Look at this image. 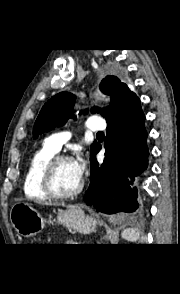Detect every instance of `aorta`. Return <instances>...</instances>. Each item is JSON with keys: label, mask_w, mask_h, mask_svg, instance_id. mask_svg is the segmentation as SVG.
<instances>
[{"label": "aorta", "mask_w": 180, "mask_h": 294, "mask_svg": "<svg viewBox=\"0 0 180 294\" xmlns=\"http://www.w3.org/2000/svg\"><path fill=\"white\" fill-rule=\"evenodd\" d=\"M95 96H96L97 98H104V96H103L102 94H100V93L95 94Z\"/></svg>", "instance_id": "aorta-1"}]
</instances>
